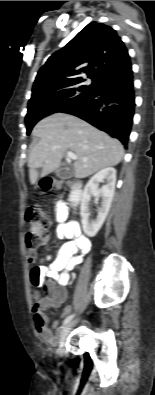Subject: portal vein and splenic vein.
I'll use <instances>...</instances> for the list:
<instances>
[{"label":"portal vein and splenic vein","mask_w":155,"mask_h":395,"mask_svg":"<svg viewBox=\"0 0 155 395\" xmlns=\"http://www.w3.org/2000/svg\"><path fill=\"white\" fill-rule=\"evenodd\" d=\"M67 157L72 160H77V156L73 152H67Z\"/></svg>","instance_id":"18ae733b"}]
</instances>
